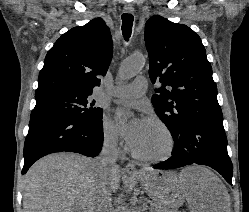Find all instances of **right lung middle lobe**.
Here are the masks:
<instances>
[{"instance_id": "1", "label": "right lung middle lobe", "mask_w": 249, "mask_h": 212, "mask_svg": "<svg viewBox=\"0 0 249 212\" xmlns=\"http://www.w3.org/2000/svg\"><path fill=\"white\" fill-rule=\"evenodd\" d=\"M91 93L74 91H54L35 95L36 106L30 120L36 117L61 115L82 121L98 122L102 120L103 110L94 107L95 100L88 97Z\"/></svg>"}]
</instances>
